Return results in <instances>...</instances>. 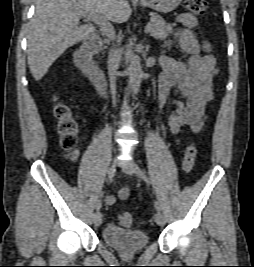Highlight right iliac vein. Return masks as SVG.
<instances>
[{
  "mask_svg": "<svg viewBox=\"0 0 254 267\" xmlns=\"http://www.w3.org/2000/svg\"><path fill=\"white\" fill-rule=\"evenodd\" d=\"M112 169H113V166H111V167L108 169V172H109L110 170H112ZM93 222H94V224H95L96 226H100V225H101V223H102V214H101L100 211H96V212L94 213V215H93Z\"/></svg>",
  "mask_w": 254,
  "mask_h": 267,
  "instance_id": "obj_1",
  "label": "right iliac vein"
}]
</instances>
